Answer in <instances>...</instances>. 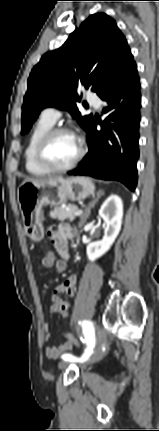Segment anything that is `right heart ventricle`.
<instances>
[{
	"mask_svg": "<svg viewBox=\"0 0 159 431\" xmlns=\"http://www.w3.org/2000/svg\"><path fill=\"white\" fill-rule=\"evenodd\" d=\"M54 123L41 117L36 125L33 127L31 133L28 136L27 143L24 150V161L26 171L33 176H44L49 172L42 168L35 158V150L39 140L42 136L53 127Z\"/></svg>",
	"mask_w": 159,
	"mask_h": 431,
	"instance_id": "e07e8e85",
	"label": "right heart ventricle"
}]
</instances>
